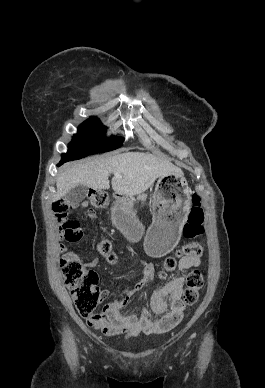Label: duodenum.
I'll list each match as a JSON object with an SVG mask.
<instances>
[{
  "instance_id": "1",
  "label": "duodenum",
  "mask_w": 265,
  "mask_h": 388,
  "mask_svg": "<svg viewBox=\"0 0 265 388\" xmlns=\"http://www.w3.org/2000/svg\"><path fill=\"white\" fill-rule=\"evenodd\" d=\"M121 196H122V195H120V197H119L120 199H122V197H121Z\"/></svg>"
}]
</instances>
